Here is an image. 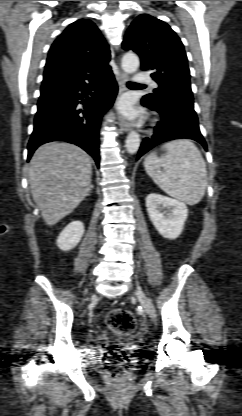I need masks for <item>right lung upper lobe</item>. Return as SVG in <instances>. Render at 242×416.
Returning a JSON list of instances; mask_svg holds the SVG:
<instances>
[{
	"label": "right lung upper lobe",
	"mask_w": 242,
	"mask_h": 416,
	"mask_svg": "<svg viewBox=\"0 0 242 416\" xmlns=\"http://www.w3.org/2000/svg\"><path fill=\"white\" fill-rule=\"evenodd\" d=\"M110 49L87 19L70 24L54 41L45 65L41 92L98 78L109 71Z\"/></svg>",
	"instance_id": "right-lung-upper-lobe-1"
}]
</instances>
